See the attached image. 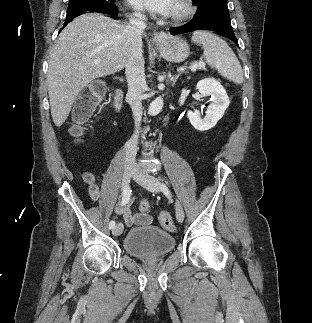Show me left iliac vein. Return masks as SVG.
I'll return each mask as SVG.
<instances>
[{
	"label": "left iliac vein",
	"instance_id": "1",
	"mask_svg": "<svg viewBox=\"0 0 312 323\" xmlns=\"http://www.w3.org/2000/svg\"><path fill=\"white\" fill-rule=\"evenodd\" d=\"M133 177L134 179L144 188L152 191L159 192L164 189L163 183L156 177L149 175L145 171L141 170L138 166H134L133 168ZM176 218L179 223L184 220V210L181 203L176 200Z\"/></svg>",
	"mask_w": 312,
	"mask_h": 323
}]
</instances>
